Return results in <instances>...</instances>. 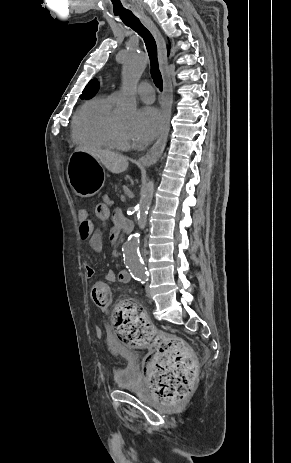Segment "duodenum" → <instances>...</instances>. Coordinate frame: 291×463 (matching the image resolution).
Here are the masks:
<instances>
[{"label":"duodenum","mask_w":291,"mask_h":463,"mask_svg":"<svg viewBox=\"0 0 291 463\" xmlns=\"http://www.w3.org/2000/svg\"><path fill=\"white\" fill-rule=\"evenodd\" d=\"M116 226H119L122 229V231H125V232H131L133 230V228H134V224H133V222L131 220H129L127 218H122V217H120V219L118 220ZM125 271H127V270H125Z\"/></svg>","instance_id":"1"}]
</instances>
